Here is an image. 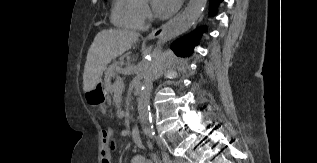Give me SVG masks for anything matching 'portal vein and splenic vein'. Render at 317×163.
<instances>
[{"instance_id":"obj_1","label":"portal vein and splenic vein","mask_w":317,"mask_h":163,"mask_svg":"<svg viewBox=\"0 0 317 163\" xmlns=\"http://www.w3.org/2000/svg\"><path fill=\"white\" fill-rule=\"evenodd\" d=\"M115 91H122L124 89V82L121 79H117L114 83Z\"/></svg>"}]
</instances>
